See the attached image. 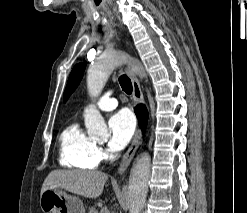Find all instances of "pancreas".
Returning <instances> with one entry per match:
<instances>
[{
	"label": "pancreas",
	"instance_id": "cf45deb5",
	"mask_svg": "<svg viewBox=\"0 0 247 213\" xmlns=\"http://www.w3.org/2000/svg\"><path fill=\"white\" fill-rule=\"evenodd\" d=\"M88 213H99L95 207H91Z\"/></svg>",
	"mask_w": 247,
	"mask_h": 213
}]
</instances>
